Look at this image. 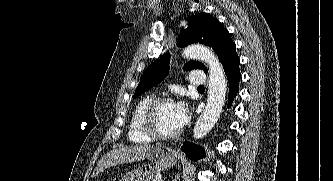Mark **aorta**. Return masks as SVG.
I'll list each match as a JSON object with an SVG mask.
<instances>
[{"mask_svg":"<svg viewBox=\"0 0 333 181\" xmlns=\"http://www.w3.org/2000/svg\"><path fill=\"white\" fill-rule=\"evenodd\" d=\"M184 57L205 62L209 68L208 97L205 110L194 127V138H203L217 122L225 102L227 82L217 56L203 45H191L184 49Z\"/></svg>","mask_w":333,"mask_h":181,"instance_id":"aorta-1","label":"aorta"}]
</instances>
